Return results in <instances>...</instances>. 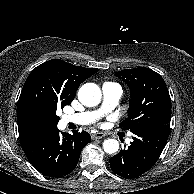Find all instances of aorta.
I'll return each instance as SVG.
<instances>
[{
    "instance_id": "obj_1",
    "label": "aorta",
    "mask_w": 194,
    "mask_h": 194,
    "mask_svg": "<svg viewBox=\"0 0 194 194\" xmlns=\"http://www.w3.org/2000/svg\"><path fill=\"white\" fill-rule=\"evenodd\" d=\"M101 90L94 83L84 84L78 91L79 101L88 107L96 106L101 101ZM103 149L108 154H113L119 149V142L115 139H107L103 142Z\"/></svg>"
}]
</instances>
